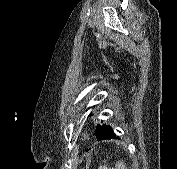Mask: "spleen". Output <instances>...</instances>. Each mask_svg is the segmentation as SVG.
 <instances>
[{"label":"spleen","instance_id":"spleen-1","mask_svg":"<svg viewBox=\"0 0 177 169\" xmlns=\"http://www.w3.org/2000/svg\"><path fill=\"white\" fill-rule=\"evenodd\" d=\"M98 169H128L123 161H117L114 168H108L107 166H99Z\"/></svg>","mask_w":177,"mask_h":169}]
</instances>
